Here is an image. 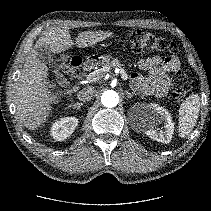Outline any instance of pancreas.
<instances>
[{
  "label": "pancreas",
  "instance_id": "obj_1",
  "mask_svg": "<svg viewBox=\"0 0 211 211\" xmlns=\"http://www.w3.org/2000/svg\"><path fill=\"white\" fill-rule=\"evenodd\" d=\"M123 64L120 63L118 59L109 60L107 63H104V66L98 70L100 77L104 76L106 71L112 70L114 68H121Z\"/></svg>",
  "mask_w": 211,
  "mask_h": 211
}]
</instances>
